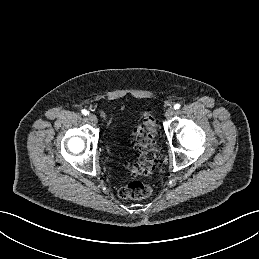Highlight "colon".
I'll use <instances>...</instances> for the list:
<instances>
[{
	"mask_svg": "<svg viewBox=\"0 0 259 259\" xmlns=\"http://www.w3.org/2000/svg\"><path fill=\"white\" fill-rule=\"evenodd\" d=\"M157 121L149 110L145 111L135 129V146L138 163L129 166L133 176H150L157 162ZM152 193L149 183L132 181L122 187L118 194L123 199H143Z\"/></svg>",
	"mask_w": 259,
	"mask_h": 259,
	"instance_id": "colon-1",
	"label": "colon"
}]
</instances>
